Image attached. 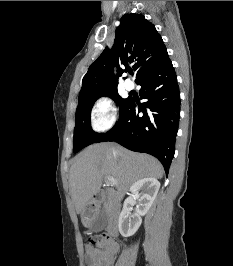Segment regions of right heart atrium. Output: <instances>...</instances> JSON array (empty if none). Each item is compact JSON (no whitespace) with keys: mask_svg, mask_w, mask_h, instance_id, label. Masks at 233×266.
I'll return each mask as SVG.
<instances>
[{"mask_svg":"<svg viewBox=\"0 0 233 266\" xmlns=\"http://www.w3.org/2000/svg\"><path fill=\"white\" fill-rule=\"evenodd\" d=\"M117 119V108L114 100L103 95L96 99L91 110V126L96 132L110 129Z\"/></svg>","mask_w":233,"mask_h":266,"instance_id":"right-heart-atrium-1","label":"right heart atrium"}]
</instances>
